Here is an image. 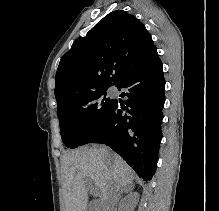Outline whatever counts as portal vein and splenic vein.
<instances>
[{
  "mask_svg": "<svg viewBox=\"0 0 219 211\" xmlns=\"http://www.w3.org/2000/svg\"><path fill=\"white\" fill-rule=\"evenodd\" d=\"M98 187H94V191L93 193H95V195H98L99 191H97Z\"/></svg>",
  "mask_w": 219,
  "mask_h": 211,
  "instance_id": "1",
  "label": "portal vein and splenic vein"
}]
</instances>
